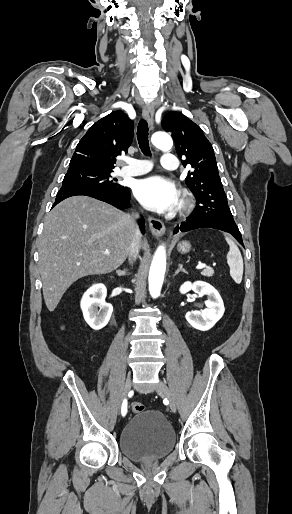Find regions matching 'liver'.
<instances>
[{
  "label": "liver",
  "mask_w": 292,
  "mask_h": 514,
  "mask_svg": "<svg viewBox=\"0 0 292 514\" xmlns=\"http://www.w3.org/2000/svg\"><path fill=\"white\" fill-rule=\"evenodd\" d=\"M135 234L127 214L89 196H72L55 206L45 218L38 246L49 312H54L64 292L79 278L119 268Z\"/></svg>",
  "instance_id": "1"
}]
</instances>
